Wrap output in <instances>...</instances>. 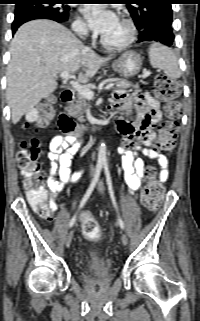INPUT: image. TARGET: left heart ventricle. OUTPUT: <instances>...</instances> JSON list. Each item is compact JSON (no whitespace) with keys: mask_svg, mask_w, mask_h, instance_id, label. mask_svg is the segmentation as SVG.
Listing matches in <instances>:
<instances>
[{"mask_svg":"<svg viewBox=\"0 0 200 321\" xmlns=\"http://www.w3.org/2000/svg\"><path fill=\"white\" fill-rule=\"evenodd\" d=\"M102 36L110 44H121L127 40L129 36V30L127 25L120 18H118L115 25Z\"/></svg>","mask_w":200,"mask_h":321,"instance_id":"obj_1","label":"left heart ventricle"}]
</instances>
